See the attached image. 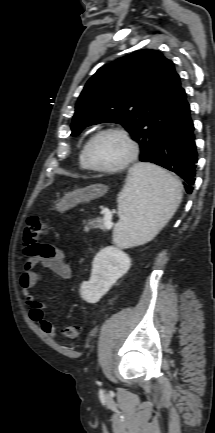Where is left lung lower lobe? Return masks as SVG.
<instances>
[{
    "mask_svg": "<svg viewBox=\"0 0 215 433\" xmlns=\"http://www.w3.org/2000/svg\"><path fill=\"white\" fill-rule=\"evenodd\" d=\"M198 153L190 106L182 88L172 106L168 122L160 134L151 163L177 174L188 194L195 183Z\"/></svg>",
    "mask_w": 215,
    "mask_h": 433,
    "instance_id": "obj_1",
    "label": "left lung lower lobe"
}]
</instances>
